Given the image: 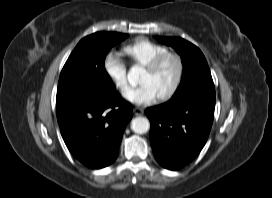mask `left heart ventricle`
<instances>
[{
    "mask_svg": "<svg viewBox=\"0 0 272 198\" xmlns=\"http://www.w3.org/2000/svg\"><path fill=\"white\" fill-rule=\"evenodd\" d=\"M177 73V64L174 59L166 60L155 72L144 71L140 83L150 84L157 95L165 93L173 84Z\"/></svg>",
    "mask_w": 272,
    "mask_h": 198,
    "instance_id": "b2bd125f",
    "label": "left heart ventricle"
}]
</instances>
